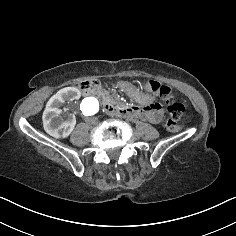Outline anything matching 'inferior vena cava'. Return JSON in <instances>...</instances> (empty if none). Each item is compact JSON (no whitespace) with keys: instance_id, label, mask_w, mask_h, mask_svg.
<instances>
[{"instance_id":"602c4592","label":"inferior vena cava","mask_w":236,"mask_h":236,"mask_svg":"<svg viewBox=\"0 0 236 236\" xmlns=\"http://www.w3.org/2000/svg\"><path fill=\"white\" fill-rule=\"evenodd\" d=\"M85 122H87L88 124H97L98 120L97 118H91V117H85Z\"/></svg>"}]
</instances>
